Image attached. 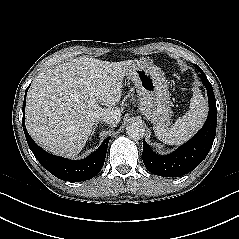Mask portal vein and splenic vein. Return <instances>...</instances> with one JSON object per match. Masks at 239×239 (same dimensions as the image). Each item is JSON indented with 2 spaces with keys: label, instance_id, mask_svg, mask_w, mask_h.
Instances as JSON below:
<instances>
[{
  "label": "portal vein and splenic vein",
  "instance_id": "1",
  "mask_svg": "<svg viewBox=\"0 0 239 239\" xmlns=\"http://www.w3.org/2000/svg\"><path fill=\"white\" fill-rule=\"evenodd\" d=\"M88 90H89V103H90V105L93 106V107L98 106L97 101L95 99L94 88L91 86V87H88Z\"/></svg>",
  "mask_w": 239,
  "mask_h": 239
}]
</instances>
